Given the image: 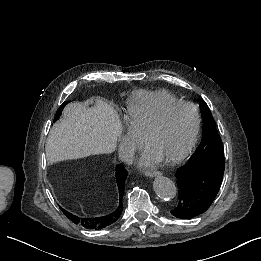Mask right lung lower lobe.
Returning <instances> with one entry per match:
<instances>
[{"instance_id":"obj_1","label":"right lung lower lobe","mask_w":261,"mask_h":261,"mask_svg":"<svg viewBox=\"0 0 261 261\" xmlns=\"http://www.w3.org/2000/svg\"><path fill=\"white\" fill-rule=\"evenodd\" d=\"M127 171L125 170L122 164L117 165L116 167V181L118 185L119 191V206L118 208L111 214L103 217H95V218H82L76 215L71 214L70 212L61 209L62 212L65 214L67 218H69L73 223L80 225L87 229H94L99 230L105 228L118 220L122 213L123 205H122V198L124 193V183L127 178ZM61 208V207H60Z\"/></svg>"}]
</instances>
